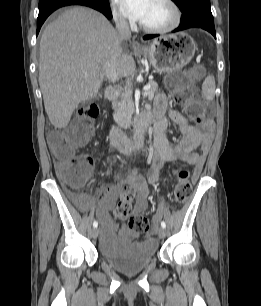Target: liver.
<instances>
[{
  "mask_svg": "<svg viewBox=\"0 0 261 306\" xmlns=\"http://www.w3.org/2000/svg\"><path fill=\"white\" fill-rule=\"evenodd\" d=\"M117 31L101 13L86 7L64 11L47 25L40 40L39 85L45 111L55 128H65L79 103L94 98L104 65L118 50V77L135 73Z\"/></svg>",
  "mask_w": 261,
  "mask_h": 306,
  "instance_id": "1",
  "label": "liver"
}]
</instances>
